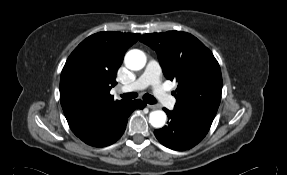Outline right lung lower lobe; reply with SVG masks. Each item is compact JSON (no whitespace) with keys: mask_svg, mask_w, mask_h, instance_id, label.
<instances>
[{"mask_svg":"<svg viewBox=\"0 0 287 175\" xmlns=\"http://www.w3.org/2000/svg\"><path fill=\"white\" fill-rule=\"evenodd\" d=\"M145 106L141 100L125 101L114 107L104 120L76 136L94 147L109 146L123 135L131 112Z\"/></svg>","mask_w":287,"mask_h":175,"instance_id":"obj_1","label":"right lung lower lobe"}]
</instances>
